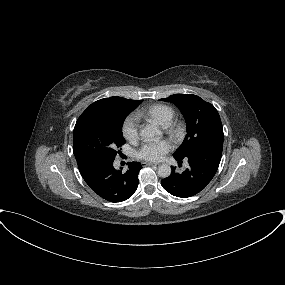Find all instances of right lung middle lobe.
Here are the masks:
<instances>
[{
	"mask_svg": "<svg viewBox=\"0 0 285 285\" xmlns=\"http://www.w3.org/2000/svg\"><path fill=\"white\" fill-rule=\"evenodd\" d=\"M142 101L119 104L79 117L74 128L73 152L77 163L87 160H110L125 143L122 125L128 114Z\"/></svg>",
	"mask_w": 285,
	"mask_h": 285,
	"instance_id": "1",
	"label": "right lung middle lobe"
}]
</instances>
